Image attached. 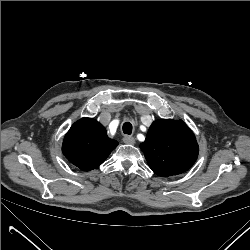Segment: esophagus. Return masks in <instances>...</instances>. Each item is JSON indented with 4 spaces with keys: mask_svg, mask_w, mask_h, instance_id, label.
Wrapping results in <instances>:
<instances>
[{
    "mask_svg": "<svg viewBox=\"0 0 250 250\" xmlns=\"http://www.w3.org/2000/svg\"><path fill=\"white\" fill-rule=\"evenodd\" d=\"M123 142L125 144H134L135 143V139L132 136H124L123 137Z\"/></svg>",
    "mask_w": 250,
    "mask_h": 250,
    "instance_id": "34e87169",
    "label": "esophagus"
}]
</instances>
